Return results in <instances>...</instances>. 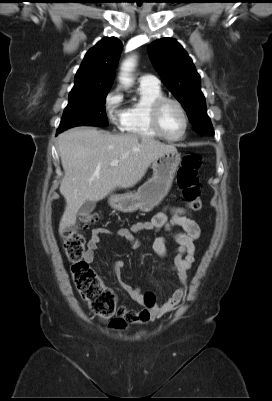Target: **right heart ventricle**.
<instances>
[{
  "instance_id": "e07e8e85",
  "label": "right heart ventricle",
  "mask_w": 272,
  "mask_h": 401,
  "mask_svg": "<svg viewBox=\"0 0 272 401\" xmlns=\"http://www.w3.org/2000/svg\"><path fill=\"white\" fill-rule=\"evenodd\" d=\"M138 95V99L124 111L121 130L126 134L139 138L158 139L160 136L151 125L150 111L153 103L164 97V94L159 86L140 85Z\"/></svg>"
}]
</instances>
